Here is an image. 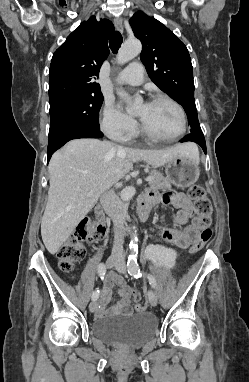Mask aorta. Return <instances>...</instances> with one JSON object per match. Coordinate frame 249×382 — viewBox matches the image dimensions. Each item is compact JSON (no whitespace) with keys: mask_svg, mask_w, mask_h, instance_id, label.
Returning <instances> with one entry per match:
<instances>
[{"mask_svg":"<svg viewBox=\"0 0 249 382\" xmlns=\"http://www.w3.org/2000/svg\"><path fill=\"white\" fill-rule=\"evenodd\" d=\"M141 50H142V45L138 39L127 40L121 46V48L119 49L117 53V57H116L117 63L121 65L127 63L128 61L135 58L141 52ZM117 94L122 98L128 97L127 93L124 92L123 90H119ZM135 192L136 190L134 187L125 188L121 193L122 200L123 201L130 200L134 196ZM130 249L132 253H137L138 251V239L136 235H133V237L131 238Z\"/></svg>","mask_w":249,"mask_h":382,"instance_id":"1","label":"aorta"}]
</instances>
